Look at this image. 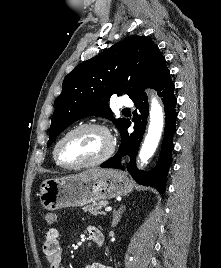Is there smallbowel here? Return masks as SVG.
Here are the masks:
<instances>
[{"label": "small bowel", "mask_w": 221, "mask_h": 268, "mask_svg": "<svg viewBox=\"0 0 221 268\" xmlns=\"http://www.w3.org/2000/svg\"><path fill=\"white\" fill-rule=\"evenodd\" d=\"M99 229L95 226H88L87 231L90 236ZM42 252L46 258L49 268H63L61 266L62 260V246L60 243L59 231L55 228L48 229L44 234V242L42 245ZM85 268H112L102 263H91Z\"/></svg>", "instance_id": "c3829d8e"}]
</instances>
